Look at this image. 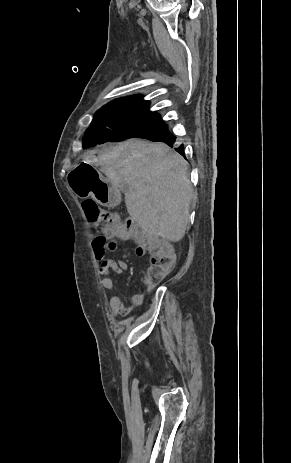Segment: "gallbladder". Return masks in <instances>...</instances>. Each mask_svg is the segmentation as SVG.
<instances>
[{
    "mask_svg": "<svg viewBox=\"0 0 291 463\" xmlns=\"http://www.w3.org/2000/svg\"><path fill=\"white\" fill-rule=\"evenodd\" d=\"M127 189H128V188H127V186H126V185H125L124 187H122V188H121V190H122L123 192H126V191H127Z\"/></svg>",
    "mask_w": 291,
    "mask_h": 463,
    "instance_id": "bac80fb5",
    "label": "gallbladder"
}]
</instances>
